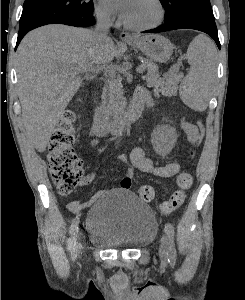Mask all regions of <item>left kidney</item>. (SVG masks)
<instances>
[{"label": "left kidney", "mask_w": 245, "mask_h": 300, "mask_svg": "<svg viewBox=\"0 0 245 300\" xmlns=\"http://www.w3.org/2000/svg\"><path fill=\"white\" fill-rule=\"evenodd\" d=\"M177 139L175 130L169 126H161L153 133L155 148L159 153L165 154L171 151Z\"/></svg>", "instance_id": "left-kidney-1"}]
</instances>
